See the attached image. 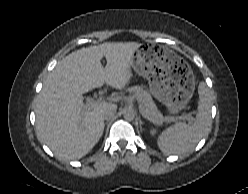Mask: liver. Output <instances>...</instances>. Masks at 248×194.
Segmentation results:
<instances>
[{
  "instance_id": "6515ba94",
  "label": "liver",
  "mask_w": 248,
  "mask_h": 194,
  "mask_svg": "<svg viewBox=\"0 0 248 194\" xmlns=\"http://www.w3.org/2000/svg\"><path fill=\"white\" fill-rule=\"evenodd\" d=\"M137 42H105L76 50L47 77L36 104V131L58 157L80 159L104 131V111L115 104L103 102L84 110L83 94L104 83L123 89L131 80ZM105 57L107 65L101 64Z\"/></svg>"
}]
</instances>
